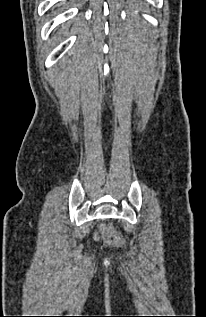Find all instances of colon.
Listing matches in <instances>:
<instances>
[{
  "instance_id": "colon-1",
  "label": "colon",
  "mask_w": 206,
  "mask_h": 317,
  "mask_svg": "<svg viewBox=\"0 0 206 317\" xmlns=\"http://www.w3.org/2000/svg\"><path fill=\"white\" fill-rule=\"evenodd\" d=\"M101 237L115 245H121L123 242L122 236L111 227H105L102 231Z\"/></svg>"
}]
</instances>
